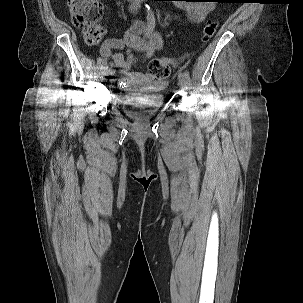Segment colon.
<instances>
[{"mask_svg": "<svg viewBox=\"0 0 303 303\" xmlns=\"http://www.w3.org/2000/svg\"><path fill=\"white\" fill-rule=\"evenodd\" d=\"M67 4L73 23L83 30L87 44H98L104 34L99 24L103 11L101 0H67ZM216 29L215 22H208L203 29L204 38L213 37ZM172 64L173 61L169 57L154 58L148 65L149 73L158 79H166L170 76Z\"/></svg>", "mask_w": 303, "mask_h": 303, "instance_id": "5ec220e1", "label": "colon"}]
</instances>
